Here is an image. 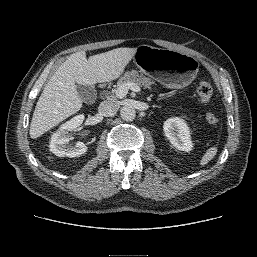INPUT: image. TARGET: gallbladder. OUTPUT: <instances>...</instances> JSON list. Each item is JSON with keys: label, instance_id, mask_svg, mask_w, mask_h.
Here are the masks:
<instances>
[{"label": "gallbladder", "instance_id": "gallbladder-1", "mask_svg": "<svg viewBox=\"0 0 257 257\" xmlns=\"http://www.w3.org/2000/svg\"><path fill=\"white\" fill-rule=\"evenodd\" d=\"M77 92L80 98L86 103L93 101L96 97V90L93 86L78 85Z\"/></svg>", "mask_w": 257, "mask_h": 257}]
</instances>
